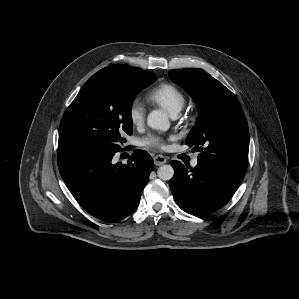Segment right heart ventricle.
<instances>
[{"instance_id":"e07e8e85","label":"right heart ventricle","mask_w":299,"mask_h":299,"mask_svg":"<svg viewBox=\"0 0 299 299\" xmlns=\"http://www.w3.org/2000/svg\"><path fill=\"white\" fill-rule=\"evenodd\" d=\"M149 101L156 104L171 115H177L186 103L184 92L171 83H161L150 90L147 94Z\"/></svg>"}]
</instances>
